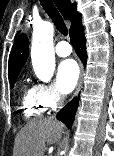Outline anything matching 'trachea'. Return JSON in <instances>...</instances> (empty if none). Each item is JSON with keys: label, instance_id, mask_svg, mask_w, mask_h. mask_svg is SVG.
I'll use <instances>...</instances> for the list:
<instances>
[{"label": "trachea", "instance_id": "3493384b", "mask_svg": "<svg viewBox=\"0 0 114 156\" xmlns=\"http://www.w3.org/2000/svg\"><path fill=\"white\" fill-rule=\"evenodd\" d=\"M43 9L48 14V16L54 22L56 29L64 36L68 35V29L65 25V22L58 12L57 8L53 4L52 0H39Z\"/></svg>", "mask_w": 114, "mask_h": 156}]
</instances>
